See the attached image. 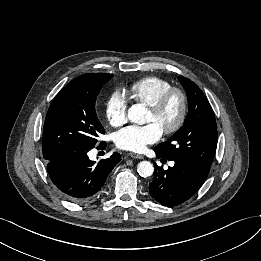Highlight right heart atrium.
<instances>
[{
  "label": "right heart atrium",
  "mask_w": 261,
  "mask_h": 261,
  "mask_svg": "<svg viewBox=\"0 0 261 261\" xmlns=\"http://www.w3.org/2000/svg\"><path fill=\"white\" fill-rule=\"evenodd\" d=\"M127 99L121 92H113L105 104V115L108 122L114 126H122L127 120Z\"/></svg>",
  "instance_id": "1"
}]
</instances>
